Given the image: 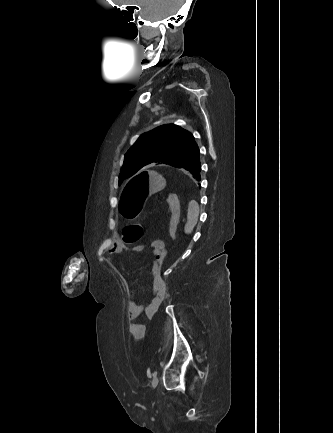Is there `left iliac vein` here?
<instances>
[{
    "instance_id": "left-iliac-vein-1",
    "label": "left iliac vein",
    "mask_w": 333,
    "mask_h": 433,
    "mask_svg": "<svg viewBox=\"0 0 333 433\" xmlns=\"http://www.w3.org/2000/svg\"><path fill=\"white\" fill-rule=\"evenodd\" d=\"M158 382H159L158 377L155 376L152 380V387L156 388V386L158 385Z\"/></svg>"
}]
</instances>
